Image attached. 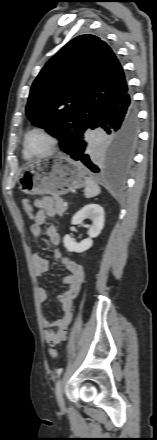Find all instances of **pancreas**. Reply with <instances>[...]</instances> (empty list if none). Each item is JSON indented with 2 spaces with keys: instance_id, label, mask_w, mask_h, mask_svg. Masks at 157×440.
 <instances>
[{
  "instance_id": "obj_1",
  "label": "pancreas",
  "mask_w": 157,
  "mask_h": 440,
  "mask_svg": "<svg viewBox=\"0 0 157 440\" xmlns=\"http://www.w3.org/2000/svg\"><path fill=\"white\" fill-rule=\"evenodd\" d=\"M54 200H55V204H54L55 211L60 217H62L65 211L67 210V206L63 205L64 203L63 199L60 197H54Z\"/></svg>"
}]
</instances>
